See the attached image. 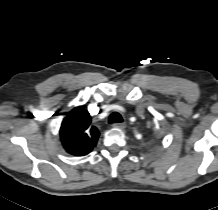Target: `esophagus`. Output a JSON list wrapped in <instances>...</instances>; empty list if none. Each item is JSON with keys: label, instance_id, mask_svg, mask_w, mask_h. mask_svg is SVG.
<instances>
[{"label": "esophagus", "instance_id": "obj_1", "mask_svg": "<svg viewBox=\"0 0 218 210\" xmlns=\"http://www.w3.org/2000/svg\"><path fill=\"white\" fill-rule=\"evenodd\" d=\"M114 126L119 128V129H121V130L126 128V124L125 123H116V124H114Z\"/></svg>", "mask_w": 218, "mask_h": 210}]
</instances>
